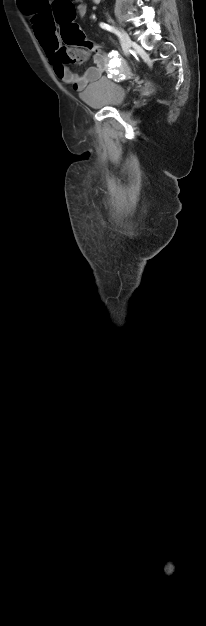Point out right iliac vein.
Returning <instances> with one entry per match:
<instances>
[{"label": "right iliac vein", "mask_w": 206, "mask_h": 626, "mask_svg": "<svg viewBox=\"0 0 206 626\" xmlns=\"http://www.w3.org/2000/svg\"><path fill=\"white\" fill-rule=\"evenodd\" d=\"M118 31L120 32V39L122 42L123 50L126 54H129L132 41L125 30H123L122 28H119Z\"/></svg>", "instance_id": "1"}]
</instances>
